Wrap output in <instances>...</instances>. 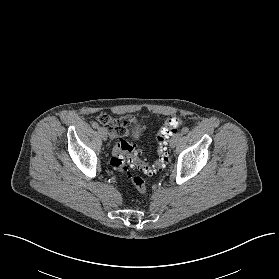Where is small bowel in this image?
<instances>
[{"label": "small bowel", "mask_w": 279, "mask_h": 279, "mask_svg": "<svg viewBox=\"0 0 279 279\" xmlns=\"http://www.w3.org/2000/svg\"><path fill=\"white\" fill-rule=\"evenodd\" d=\"M97 120L108 128L109 135L112 139H117L128 134L136 125V118L127 114L120 119H112L107 114H99Z\"/></svg>", "instance_id": "c3829d8e"}]
</instances>
